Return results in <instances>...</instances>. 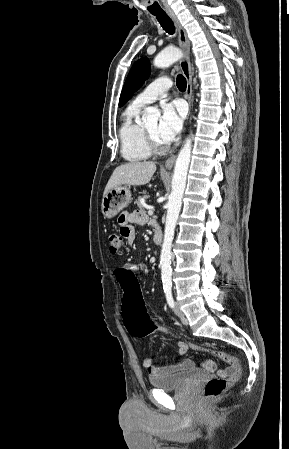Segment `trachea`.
<instances>
[{"mask_svg": "<svg viewBox=\"0 0 289 449\" xmlns=\"http://www.w3.org/2000/svg\"><path fill=\"white\" fill-rule=\"evenodd\" d=\"M162 28L170 35H173L175 33V26L171 18L166 13H152ZM177 87L180 91H185L187 82L186 78L179 74L176 79Z\"/></svg>", "mask_w": 289, "mask_h": 449, "instance_id": "trachea-1", "label": "trachea"}]
</instances>
